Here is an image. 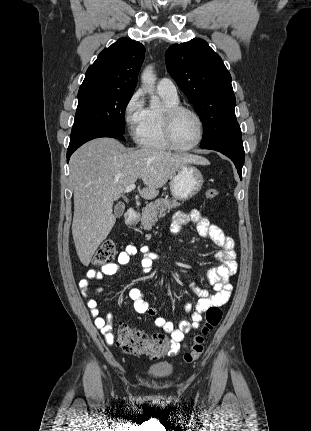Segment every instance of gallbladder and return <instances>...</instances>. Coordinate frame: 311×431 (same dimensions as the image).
<instances>
[{
	"label": "gallbladder",
	"instance_id": "1",
	"mask_svg": "<svg viewBox=\"0 0 311 431\" xmlns=\"http://www.w3.org/2000/svg\"><path fill=\"white\" fill-rule=\"evenodd\" d=\"M125 208L124 206H122V204H116V206H114V214L117 217L123 216V212H124Z\"/></svg>",
	"mask_w": 311,
	"mask_h": 431
}]
</instances>
